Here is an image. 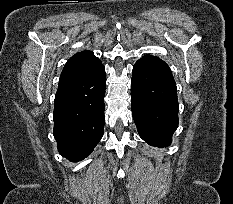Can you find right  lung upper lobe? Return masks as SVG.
Instances as JSON below:
<instances>
[{"mask_svg":"<svg viewBox=\"0 0 233 204\" xmlns=\"http://www.w3.org/2000/svg\"><path fill=\"white\" fill-rule=\"evenodd\" d=\"M101 65V61L91 51L85 50L76 53L66 63L61 73L58 87L71 84L92 75Z\"/></svg>","mask_w":233,"mask_h":204,"instance_id":"obj_1","label":"right lung upper lobe"}]
</instances>
